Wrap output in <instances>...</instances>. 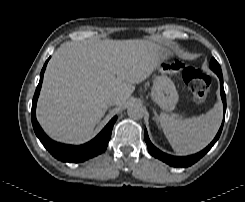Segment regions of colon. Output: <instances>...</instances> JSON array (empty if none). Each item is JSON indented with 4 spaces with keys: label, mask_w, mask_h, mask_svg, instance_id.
Wrapping results in <instances>:
<instances>
[{
    "label": "colon",
    "mask_w": 245,
    "mask_h": 202,
    "mask_svg": "<svg viewBox=\"0 0 245 202\" xmlns=\"http://www.w3.org/2000/svg\"><path fill=\"white\" fill-rule=\"evenodd\" d=\"M174 65L178 70H181L182 76L189 85L195 100L203 101L211 86L210 77L191 64L175 60Z\"/></svg>",
    "instance_id": "5ec220e1"
}]
</instances>
